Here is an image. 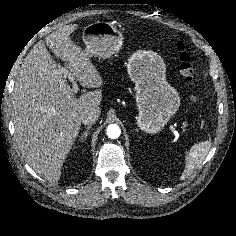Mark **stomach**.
Instances as JSON below:
<instances>
[{
	"instance_id": "0dacf381",
	"label": "stomach",
	"mask_w": 236,
	"mask_h": 236,
	"mask_svg": "<svg viewBox=\"0 0 236 236\" xmlns=\"http://www.w3.org/2000/svg\"><path fill=\"white\" fill-rule=\"evenodd\" d=\"M83 41L89 58L106 59L122 47L123 35L109 22H95L84 28ZM126 66L136 90L137 125L146 133H159L180 106L179 93L166 80L164 61L153 51L138 50Z\"/></svg>"
}]
</instances>
